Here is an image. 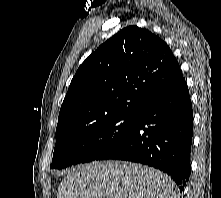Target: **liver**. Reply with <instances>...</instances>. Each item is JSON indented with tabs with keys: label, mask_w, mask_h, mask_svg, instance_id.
Here are the masks:
<instances>
[{
	"label": "liver",
	"mask_w": 221,
	"mask_h": 198,
	"mask_svg": "<svg viewBox=\"0 0 221 198\" xmlns=\"http://www.w3.org/2000/svg\"><path fill=\"white\" fill-rule=\"evenodd\" d=\"M177 198V186L152 167L125 161H93L70 171L57 198Z\"/></svg>",
	"instance_id": "liver-1"
}]
</instances>
